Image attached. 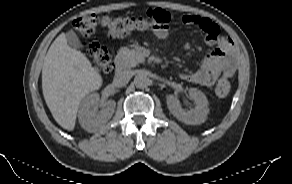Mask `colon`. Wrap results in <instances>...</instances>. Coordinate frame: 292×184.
I'll return each mask as SVG.
<instances>
[{"label":"colon","instance_id":"colon-1","mask_svg":"<svg viewBox=\"0 0 292 184\" xmlns=\"http://www.w3.org/2000/svg\"><path fill=\"white\" fill-rule=\"evenodd\" d=\"M170 20V15L164 10H149L146 16L123 15L118 17L99 16L95 14L84 15L74 20V29L83 37H88L104 29L112 37H122L134 31L157 32L164 28ZM99 70L108 74L112 71L111 55L107 48L98 44L86 45ZM218 97L225 98L230 92L229 79L222 76L215 87Z\"/></svg>","mask_w":292,"mask_h":184}]
</instances>
